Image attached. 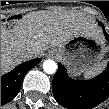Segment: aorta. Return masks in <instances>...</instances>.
<instances>
[{"instance_id": "762f6f07", "label": "aorta", "mask_w": 109, "mask_h": 109, "mask_svg": "<svg viewBox=\"0 0 109 109\" xmlns=\"http://www.w3.org/2000/svg\"><path fill=\"white\" fill-rule=\"evenodd\" d=\"M57 69V65L55 63V61L53 60H46L43 63V70L47 73V74H53L56 72Z\"/></svg>"}]
</instances>
